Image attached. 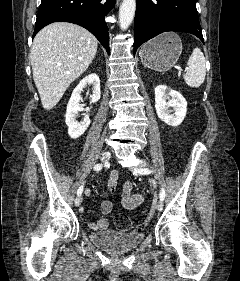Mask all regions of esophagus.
Listing matches in <instances>:
<instances>
[{
  "label": "esophagus",
  "mask_w": 240,
  "mask_h": 281,
  "mask_svg": "<svg viewBox=\"0 0 240 281\" xmlns=\"http://www.w3.org/2000/svg\"><path fill=\"white\" fill-rule=\"evenodd\" d=\"M121 0H116V5L118 6L120 4Z\"/></svg>",
  "instance_id": "esophagus-1"
}]
</instances>
